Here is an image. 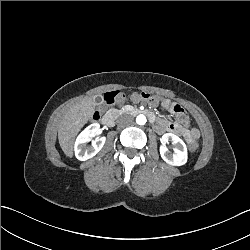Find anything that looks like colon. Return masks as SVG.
I'll return each instance as SVG.
<instances>
[{"label":"colon","mask_w":250,"mask_h":250,"mask_svg":"<svg viewBox=\"0 0 250 250\" xmlns=\"http://www.w3.org/2000/svg\"><path fill=\"white\" fill-rule=\"evenodd\" d=\"M137 97L139 100L156 102L155 98H152L148 93H145V92L138 93ZM125 99H126L125 92L120 91V90L111 91V92H107L104 94L103 104L105 106H108V105H112V104L117 103V102H123ZM101 108H104V107H100L99 109L98 108L94 109V111H93L94 121H97L100 118V109ZM173 111L182 123H187V116L185 115L184 110L180 106L176 105L174 107ZM198 149L199 148H198L197 142L195 140H190L188 142V149L187 150L189 153H191V154L195 153L198 151Z\"/></svg>","instance_id":"5ec220e1"}]
</instances>
